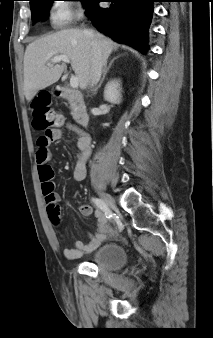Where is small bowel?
Instances as JSON below:
<instances>
[{
    "label": "small bowel",
    "instance_id": "obj_1",
    "mask_svg": "<svg viewBox=\"0 0 213 338\" xmlns=\"http://www.w3.org/2000/svg\"><path fill=\"white\" fill-rule=\"evenodd\" d=\"M69 128L72 129L75 133L79 135L77 142V151L75 155L76 163L74 168V177L77 180H83L86 175V163L91 151V138L86 134L78 125L69 123ZM61 130L54 129L50 137L46 135H41L37 139L36 143V162L38 165L39 171L43 169L52 170L50 166V161L52 155L50 152V147L52 143L61 138ZM61 201L60 195L53 193L52 197L46 202L47 204V215L51 220L52 217H60L59 202ZM80 212L84 215H89L92 212V208L89 205L80 206ZM97 219L96 232L94 234H88V243H83L82 241H75L73 247L66 248L64 250V256L69 260H75L82 257L84 254L89 253L92 249L102 241L107 233V219L105 218L104 213L101 211H96L95 213ZM59 227V223L56 224ZM62 237V234H60Z\"/></svg>",
    "mask_w": 213,
    "mask_h": 338
}]
</instances>
